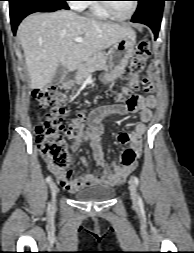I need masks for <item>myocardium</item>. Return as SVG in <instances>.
I'll list each match as a JSON object with an SVG mask.
<instances>
[{
    "mask_svg": "<svg viewBox=\"0 0 194 253\" xmlns=\"http://www.w3.org/2000/svg\"><path fill=\"white\" fill-rule=\"evenodd\" d=\"M99 5L108 14V16L110 18H112L114 20H117V21H127V20L131 19L134 16V14L136 13L137 8H138V2H137V0H133V7H132L131 12L127 16H125V17H120V16L116 15L112 11V9L108 5V3L101 2V3H99Z\"/></svg>",
    "mask_w": 194,
    "mask_h": 253,
    "instance_id": "obj_1",
    "label": "myocardium"
}]
</instances>
